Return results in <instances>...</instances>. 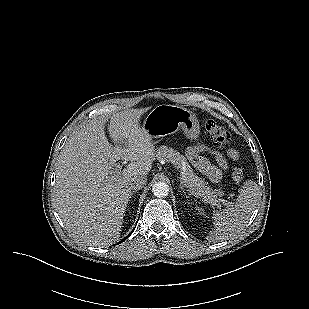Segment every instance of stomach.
I'll list each match as a JSON object with an SVG mask.
<instances>
[{"label": "stomach", "instance_id": "stomach-1", "mask_svg": "<svg viewBox=\"0 0 309 309\" xmlns=\"http://www.w3.org/2000/svg\"><path fill=\"white\" fill-rule=\"evenodd\" d=\"M142 129L151 139L163 138L182 129L191 141L200 134L197 117L188 109L175 105H158L145 118Z\"/></svg>", "mask_w": 309, "mask_h": 309}]
</instances>
